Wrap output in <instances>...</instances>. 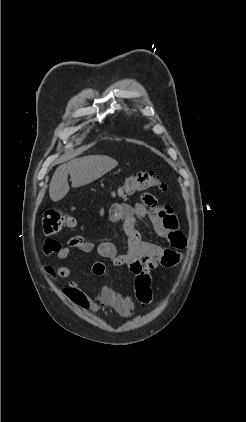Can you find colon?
<instances>
[{
    "label": "colon",
    "instance_id": "obj_1",
    "mask_svg": "<svg viewBox=\"0 0 246 422\" xmlns=\"http://www.w3.org/2000/svg\"><path fill=\"white\" fill-rule=\"evenodd\" d=\"M156 188L166 191L167 185L163 183L153 172H138L128 176L118 188L119 196H130L134 193ZM74 219L67 213L56 208L49 209L42 220V228L46 234H56L63 227H73ZM182 259V254L173 249L165 250L157 259L145 260L136 267L135 272V298L144 307L152 302L150 272L158 266L173 267Z\"/></svg>",
    "mask_w": 246,
    "mask_h": 422
}]
</instances>
